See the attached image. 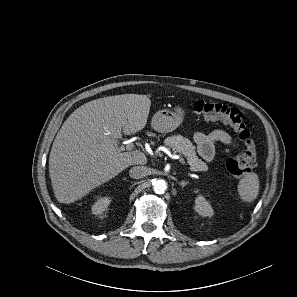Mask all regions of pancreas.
<instances>
[{
	"mask_svg": "<svg viewBox=\"0 0 297 297\" xmlns=\"http://www.w3.org/2000/svg\"><path fill=\"white\" fill-rule=\"evenodd\" d=\"M164 143L166 146L170 147L174 153H181L186 157L191 171L208 170V165L197 156L195 146L189 139L184 138L182 135H173L167 137Z\"/></svg>",
	"mask_w": 297,
	"mask_h": 297,
	"instance_id": "obj_1",
	"label": "pancreas"
}]
</instances>
